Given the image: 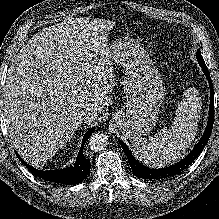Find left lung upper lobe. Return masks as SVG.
Here are the masks:
<instances>
[{
    "instance_id": "5c2ea615",
    "label": "left lung upper lobe",
    "mask_w": 219,
    "mask_h": 219,
    "mask_svg": "<svg viewBox=\"0 0 219 219\" xmlns=\"http://www.w3.org/2000/svg\"><path fill=\"white\" fill-rule=\"evenodd\" d=\"M196 57H197V60H202V61H204V60H203V57H202L201 54H200V50L197 51Z\"/></svg>"
}]
</instances>
